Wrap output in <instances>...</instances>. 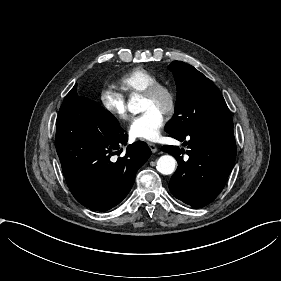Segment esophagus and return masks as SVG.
<instances>
[{"instance_id": "esophagus-1", "label": "esophagus", "mask_w": 281, "mask_h": 281, "mask_svg": "<svg viewBox=\"0 0 281 281\" xmlns=\"http://www.w3.org/2000/svg\"><path fill=\"white\" fill-rule=\"evenodd\" d=\"M147 144H148L150 150L152 151V153L157 152L158 149H157V146L155 144H153L151 142H147Z\"/></svg>"}]
</instances>
